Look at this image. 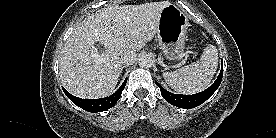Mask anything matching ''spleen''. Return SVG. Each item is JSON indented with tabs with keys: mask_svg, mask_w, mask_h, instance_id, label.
<instances>
[{
	"mask_svg": "<svg viewBox=\"0 0 276 138\" xmlns=\"http://www.w3.org/2000/svg\"><path fill=\"white\" fill-rule=\"evenodd\" d=\"M218 66V51L208 45L200 61L184 66L173 72H164L166 83L181 94H194L204 90L211 82Z\"/></svg>",
	"mask_w": 276,
	"mask_h": 138,
	"instance_id": "1",
	"label": "spleen"
}]
</instances>
